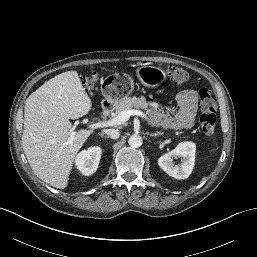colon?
Returning <instances> with one entry per match:
<instances>
[{
    "label": "colon",
    "instance_id": "5ec220e1",
    "mask_svg": "<svg viewBox=\"0 0 257 257\" xmlns=\"http://www.w3.org/2000/svg\"><path fill=\"white\" fill-rule=\"evenodd\" d=\"M167 76L176 84H184L190 79V74L180 67H170L167 70ZM96 79L97 76L95 74L87 77L85 80L86 87L91 88ZM199 97L201 101L200 126L205 134L211 135L215 131L217 122L215 102L210 91L206 88L200 89Z\"/></svg>",
    "mask_w": 257,
    "mask_h": 257
}]
</instances>
